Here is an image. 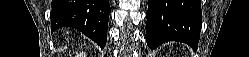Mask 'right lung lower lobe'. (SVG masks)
Wrapping results in <instances>:
<instances>
[{
    "label": "right lung lower lobe",
    "instance_id": "1",
    "mask_svg": "<svg viewBox=\"0 0 249 57\" xmlns=\"http://www.w3.org/2000/svg\"><path fill=\"white\" fill-rule=\"evenodd\" d=\"M109 15L108 0H53L51 30L74 27L104 47Z\"/></svg>",
    "mask_w": 249,
    "mask_h": 57
}]
</instances>
